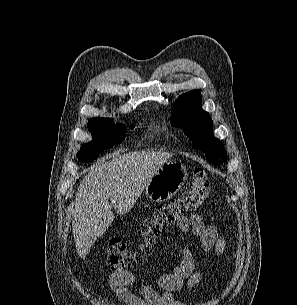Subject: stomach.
Returning a JSON list of instances; mask_svg holds the SVG:
<instances>
[{
  "label": "stomach",
  "instance_id": "1",
  "mask_svg": "<svg viewBox=\"0 0 297 305\" xmlns=\"http://www.w3.org/2000/svg\"><path fill=\"white\" fill-rule=\"evenodd\" d=\"M187 169L181 161L168 160L148 181L145 194L150 201L161 203L171 199L184 185Z\"/></svg>",
  "mask_w": 297,
  "mask_h": 305
}]
</instances>
